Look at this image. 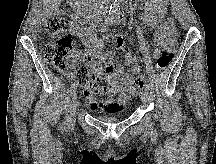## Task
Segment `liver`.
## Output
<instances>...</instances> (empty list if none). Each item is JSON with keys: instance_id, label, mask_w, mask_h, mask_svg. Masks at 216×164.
Masks as SVG:
<instances>
[{"instance_id": "6515ba94", "label": "liver", "mask_w": 216, "mask_h": 164, "mask_svg": "<svg viewBox=\"0 0 216 164\" xmlns=\"http://www.w3.org/2000/svg\"><path fill=\"white\" fill-rule=\"evenodd\" d=\"M45 9V15L50 16L61 4L62 0H43Z\"/></svg>"}]
</instances>
